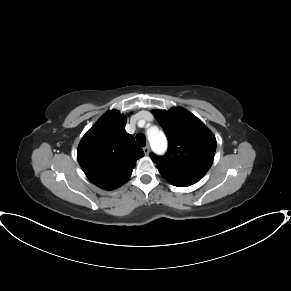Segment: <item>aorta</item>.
Listing matches in <instances>:
<instances>
[{
    "label": "aorta",
    "instance_id": "762f6f07",
    "mask_svg": "<svg viewBox=\"0 0 291 291\" xmlns=\"http://www.w3.org/2000/svg\"><path fill=\"white\" fill-rule=\"evenodd\" d=\"M147 136L151 147L156 152H163L167 147V140L162 131L157 127H151L147 130Z\"/></svg>",
    "mask_w": 291,
    "mask_h": 291
}]
</instances>
